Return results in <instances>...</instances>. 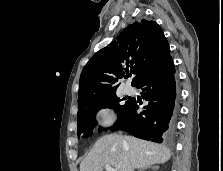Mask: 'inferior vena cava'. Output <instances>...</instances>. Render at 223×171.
Here are the masks:
<instances>
[{
	"label": "inferior vena cava",
	"instance_id": "inferior-vena-cava-1",
	"mask_svg": "<svg viewBox=\"0 0 223 171\" xmlns=\"http://www.w3.org/2000/svg\"><path fill=\"white\" fill-rule=\"evenodd\" d=\"M127 171H133L132 166L128 165V166H127Z\"/></svg>",
	"mask_w": 223,
	"mask_h": 171
}]
</instances>
